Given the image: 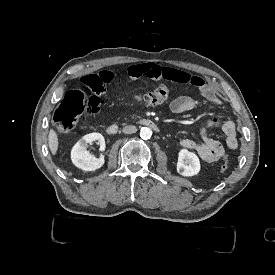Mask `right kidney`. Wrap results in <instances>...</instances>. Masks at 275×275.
<instances>
[{"label":"right kidney","mask_w":275,"mask_h":275,"mask_svg":"<svg viewBox=\"0 0 275 275\" xmlns=\"http://www.w3.org/2000/svg\"><path fill=\"white\" fill-rule=\"evenodd\" d=\"M95 141L100 143L101 149L105 148L104 137L100 133L86 134L75 143L70 153V158L74 166L83 171H95L104 165V158H96L86 149L88 143Z\"/></svg>","instance_id":"right-kidney-1"}]
</instances>
